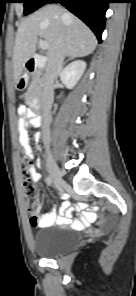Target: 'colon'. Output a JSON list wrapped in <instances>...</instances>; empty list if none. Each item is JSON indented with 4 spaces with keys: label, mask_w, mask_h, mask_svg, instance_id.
Listing matches in <instances>:
<instances>
[{
    "label": "colon",
    "mask_w": 136,
    "mask_h": 296,
    "mask_svg": "<svg viewBox=\"0 0 136 296\" xmlns=\"http://www.w3.org/2000/svg\"><path fill=\"white\" fill-rule=\"evenodd\" d=\"M22 174H23L22 190L26 199V207L28 212L32 215L31 220L33 222H36L39 199H38L35 180L31 173V167L28 166L27 164L23 165Z\"/></svg>",
    "instance_id": "obj_1"
}]
</instances>
